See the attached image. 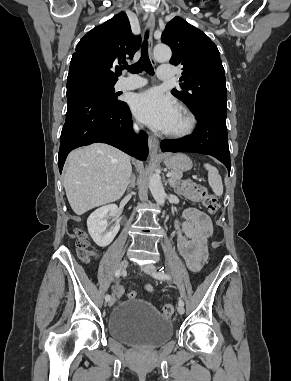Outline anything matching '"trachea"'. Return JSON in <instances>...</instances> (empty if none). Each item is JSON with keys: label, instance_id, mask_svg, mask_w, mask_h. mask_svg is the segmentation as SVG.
<instances>
[{"label": "trachea", "instance_id": "1", "mask_svg": "<svg viewBox=\"0 0 291 381\" xmlns=\"http://www.w3.org/2000/svg\"><path fill=\"white\" fill-rule=\"evenodd\" d=\"M148 33L145 35V41L142 44V55L138 62L134 63L131 66L124 65L121 69H128L132 74H139L142 71H146L149 75H154V69L148 57Z\"/></svg>", "mask_w": 291, "mask_h": 381}]
</instances>
